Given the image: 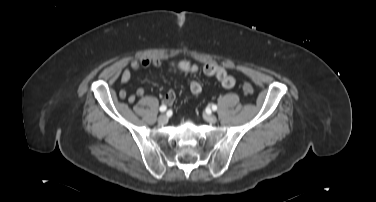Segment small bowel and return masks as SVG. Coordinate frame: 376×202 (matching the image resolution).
Listing matches in <instances>:
<instances>
[{
  "mask_svg": "<svg viewBox=\"0 0 376 202\" xmlns=\"http://www.w3.org/2000/svg\"><path fill=\"white\" fill-rule=\"evenodd\" d=\"M161 66V61L157 58H142L138 60H133L130 64V68L124 69L120 75V80L123 84L130 81L132 72L131 70H138L140 68H157ZM167 70L169 73H183V74H197L201 69L199 66L189 62V61H172L167 64ZM202 72L207 76H215L219 83L226 87L231 88L235 85V79L229 75L225 68L218 66L214 63H209L203 66ZM190 90L194 95H199L202 91L201 85L192 81L190 83ZM145 90L142 87H138L134 93L128 94L125 89H120L118 95L121 99L127 100L129 103H133L137 98L143 97ZM175 92L173 90H168L164 96V103L167 105H172L175 101Z\"/></svg>",
  "mask_w": 376,
  "mask_h": 202,
  "instance_id": "obj_1",
  "label": "small bowel"
}]
</instances>
